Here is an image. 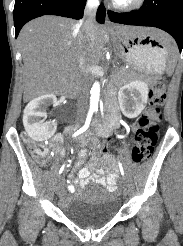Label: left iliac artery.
Listing matches in <instances>:
<instances>
[{
  "instance_id": "44dca946",
  "label": "left iliac artery",
  "mask_w": 183,
  "mask_h": 246,
  "mask_svg": "<svg viewBox=\"0 0 183 246\" xmlns=\"http://www.w3.org/2000/svg\"><path fill=\"white\" fill-rule=\"evenodd\" d=\"M118 165H119V169H120V172H121V175L124 176V169H123V166H122V163L118 160Z\"/></svg>"
}]
</instances>
